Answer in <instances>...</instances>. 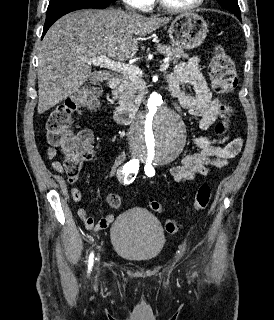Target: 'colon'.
Returning a JSON list of instances; mask_svg holds the SVG:
<instances>
[{"mask_svg": "<svg viewBox=\"0 0 274 320\" xmlns=\"http://www.w3.org/2000/svg\"><path fill=\"white\" fill-rule=\"evenodd\" d=\"M209 75L212 79L214 90L220 95H229L237 84L236 67L230 54L218 46L214 49L210 64ZM98 88L94 85H87L81 88L71 99L58 105L53 109L47 121L48 140L51 148L60 145L64 155V170L67 175L75 176L79 173L85 160L93 151L94 137L91 131H72L70 126L74 117L83 109H94L97 107ZM230 108L223 106V112H228ZM227 113L219 121V132H223L227 126ZM211 198V189L208 185H201L193 199L195 210L207 208ZM110 205L114 209L122 206L121 198L112 194ZM148 206L151 210L162 212V205L155 200H150ZM165 230L169 234H175L179 230L178 223L172 219L165 221Z\"/></svg>", "mask_w": 274, "mask_h": 320, "instance_id": "1", "label": "colon"}]
</instances>
